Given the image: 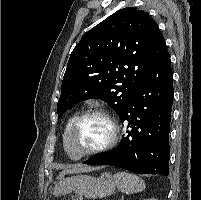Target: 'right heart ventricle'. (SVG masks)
<instances>
[{"label":"right heart ventricle","instance_id":"e07e8e85","mask_svg":"<svg viewBox=\"0 0 201 200\" xmlns=\"http://www.w3.org/2000/svg\"><path fill=\"white\" fill-rule=\"evenodd\" d=\"M73 120H74V118H71V119L67 122V124H66V126H65V129H64L63 139H62V144H63V149H64V151H65V136H66V132H67V130H68V128H69V126L71 125V123H72ZM65 152H66V151H65Z\"/></svg>","mask_w":201,"mask_h":200}]
</instances>
